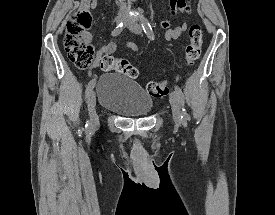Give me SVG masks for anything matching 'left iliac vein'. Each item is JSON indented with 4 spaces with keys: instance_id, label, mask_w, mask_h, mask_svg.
<instances>
[{
    "instance_id": "4c4485c4",
    "label": "left iliac vein",
    "mask_w": 275,
    "mask_h": 215,
    "mask_svg": "<svg viewBox=\"0 0 275 215\" xmlns=\"http://www.w3.org/2000/svg\"><path fill=\"white\" fill-rule=\"evenodd\" d=\"M127 10H128V8H127ZM124 21H125V26L131 32H133L135 34H140L142 32L141 26L135 21L134 18L129 19V18L124 17ZM170 104H171V108H172L173 120H174L175 124L177 126H179L181 124L182 111H181L180 100H179V97L176 94V92H172L170 94Z\"/></svg>"
}]
</instances>
